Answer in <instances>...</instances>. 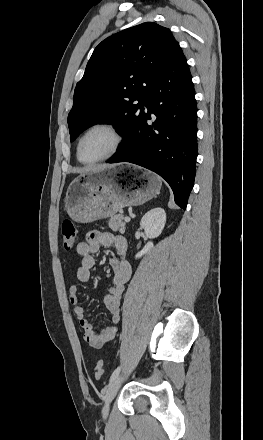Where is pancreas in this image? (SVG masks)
Returning a JSON list of instances; mask_svg holds the SVG:
<instances>
[{
  "mask_svg": "<svg viewBox=\"0 0 263 440\" xmlns=\"http://www.w3.org/2000/svg\"><path fill=\"white\" fill-rule=\"evenodd\" d=\"M123 215L121 214H117L112 216L109 220H108V225L110 227V229H112L113 231H119L121 233H123L125 231V222H123Z\"/></svg>",
  "mask_w": 263,
  "mask_h": 440,
  "instance_id": "cf45deb5",
  "label": "pancreas"
}]
</instances>
